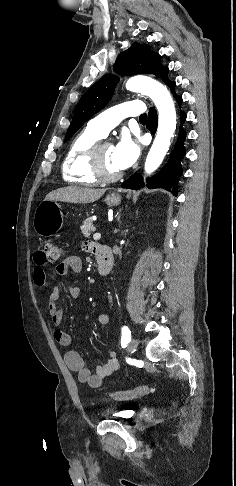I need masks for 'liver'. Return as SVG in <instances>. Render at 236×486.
<instances>
[{"mask_svg": "<svg viewBox=\"0 0 236 486\" xmlns=\"http://www.w3.org/2000/svg\"><path fill=\"white\" fill-rule=\"evenodd\" d=\"M105 191V189L68 186L51 191L46 195L45 200L87 204L98 200Z\"/></svg>", "mask_w": 236, "mask_h": 486, "instance_id": "obj_1", "label": "liver"}]
</instances>
